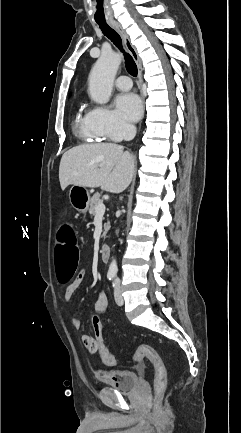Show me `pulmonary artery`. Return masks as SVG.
Instances as JSON below:
<instances>
[{"label": "pulmonary artery", "instance_id": "e3ab8cb5", "mask_svg": "<svg viewBox=\"0 0 241 433\" xmlns=\"http://www.w3.org/2000/svg\"><path fill=\"white\" fill-rule=\"evenodd\" d=\"M115 86L120 90H129L132 86V82L127 75H121L116 79Z\"/></svg>", "mask_w": 241, "mask_h": 433}]
</instances>
